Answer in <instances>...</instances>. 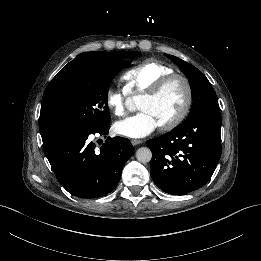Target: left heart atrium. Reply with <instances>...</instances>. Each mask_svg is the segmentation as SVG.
I'll return each mask as SVG.
<instances>
[{"instance_id":"39dd6f15","label":"left heart atrium","mask_w":261,"mask_h":261,"mask_svg":"<svg viewBox=\"0 0 261 261\" xmlns=\"http://www.w3.org/2000/svg\"><path fill=\"white\" fill-rule=\"evenodd\" d=\"M157 120L147 111H140L136 115L117 122L114 131L122 136L138 139L151 134L159 127Z\"/></svg>"}]
</instances>
